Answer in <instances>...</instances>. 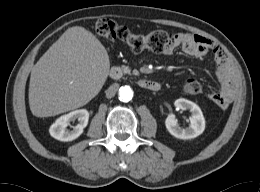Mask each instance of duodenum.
<instances>
[{"mask_svg":"<svg viewBox=\"0 0 260 192\" xmlns=\"http://www.w3.org/2000/svg\"><path fill=\"white\" fill-rule=\"evenodd\" d=\"M111 79L113 80H118L122 77V71L118 67H114L110 70L109 73ZM138 86L141 87L142 89L149 90V91H158L161 88V85L153 80H148V79H140L138 81Z\"/></svg>","mask_w":260,"mask_h":192,"instance_id":"1","label":"duodenum"}]
</instances>
